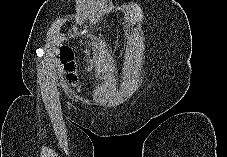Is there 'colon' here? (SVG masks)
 <instances>
[{"instance_id":"colon-1","label":"colon","mask_w":227,"mask_h":157,"mask_svg":"<svg viewBox=\"0 0 227 157\" xmlns=\"http://www.w3.org/2000/svg\"><path fill=\"white\" fill-rule=\"evenodd\" d=\"M60 61L63 65L66 80L71 85H76L78 81L77 64L73 52L69 48H62L60 52Z\"/></svg>"}]
</instances>
